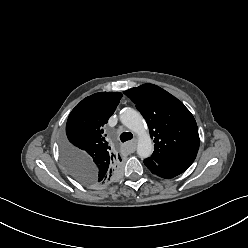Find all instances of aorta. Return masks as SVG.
<instances>
[{
	"instance_id": "aorta-1",
	"label": "aorta",
	"mask_w": 248,
	"mask_h": 248,
	"mask_svg": "<svg viewBox=\"0 0 248 248\" xmlns=\"http://www.w3.org/2000/svg\"><path fill=\"white\" fill-rule=\"evenodd\" d=\"M120 121L139 136L137 154L141 158L150 157L153 153V144L149 133L145 130L141 114L132 108H124L120 112Z\"/></svg>"
}]
</instances>
